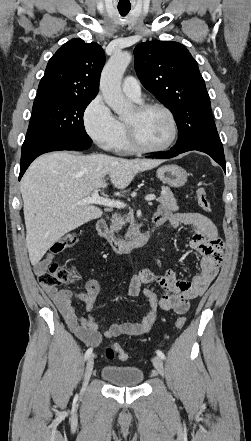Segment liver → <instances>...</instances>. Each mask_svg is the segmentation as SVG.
Listing matches in <instances>:
<instances>
[{
    "instance_id": "liver-1",
    "label": "liver",
    "mask_w": 251,
    "mask_h": 441,
    "mask_svg": "<svg viewBox=\"0 0 251 441\" xmlns=\"http://www.w3.org/2000/svg\"><path fill=\"white\" fill-rule=\"evenodd\" d=\"M162 162L62 151L38 157L26 171L20 187L31 264L37 265L66 233L102 216L100 208L77 202L94 190L106 188V175L116 188L124 189L137 173Z\"/></svg>"
}]
</instances>
